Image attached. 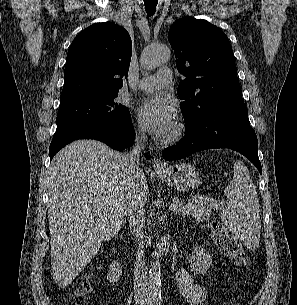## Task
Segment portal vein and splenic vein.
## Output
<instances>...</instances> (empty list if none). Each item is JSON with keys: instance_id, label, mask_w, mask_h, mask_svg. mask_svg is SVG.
<instances>
[{"instance_id": "portal-vein-and-splenic-vein-1", "label": "portal vein and splenic vein", "mask_w": 297, "mask_h": 305, "mask_svg": "<svg viewBox=\"0 0 297 305\" xmlns=\"http://www.w3.org/2000/svg\"><path fill=\"white\" fill-rule=\"evenodd\" d=\"M179 205H180L179 203L171 204L170 209H171L172 211H176V210H178V206H179ZM213 206H214V207H218V206H220V204H217L216 202H214V203H213Z\"/></svg>"}]
</instances>
